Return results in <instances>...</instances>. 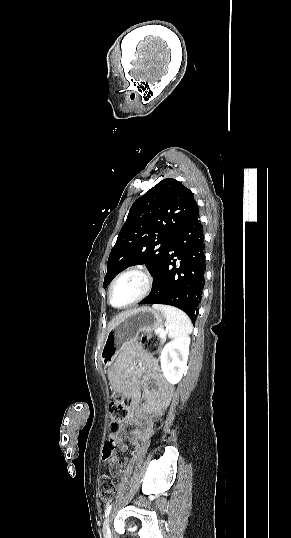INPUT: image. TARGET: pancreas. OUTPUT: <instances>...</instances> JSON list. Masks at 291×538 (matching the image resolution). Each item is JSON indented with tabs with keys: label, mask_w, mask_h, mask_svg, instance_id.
I'll return each instance as SVG.
<instances>
[{
	"label": "pancreas",
	"mask_w": 291,
	"mask_h": 538,
	"mask_svg": "<svg viewBox=\"0 0 291 538\" xmlns=\"http://www.w3.org/2000/svg\"><path fill=\"white\" fill-rule=\"evenodd\" d=\"M159 338H160L161 344H163L166 341V336L162 337L159 335Z\"/></svg>",
	"instance_id": "obj_1"
}]
</instances>
